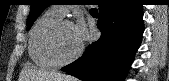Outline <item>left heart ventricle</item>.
Wrapping results in <instances>:
<instances>
[{"label":"left heart ventricle","mask_w":169,"mask_h":81,"mask_svg":"<svg viewBox=\"0 0 169 81\" xmlns=\"http://www.w3.org/2000/svg\"><path fill=\"white\" fill-rule=\"evenodd\" d=\"M80 47V43L77 41L73 26L64 25L59 31L57 39V48L61 57L68 58L72 56Z\"/></svg>","instance_id":"1"}]
</instances>
